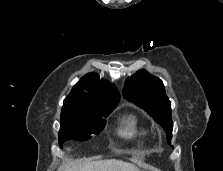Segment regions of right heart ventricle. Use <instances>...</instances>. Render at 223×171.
I'll return each mask as SVG.
<instances>
[{
    "label": "right heart ventricle",
    "mask_w": 223,
    "mask_h": 171,
    "mask_svg": "<svg viewBox=\"0 0 223 171\" xmlns=\"http://www.w3.org/2000/svg\"><path fill=\"white\" fill-rule=\"evenodd\" d=\"M148 129L136 115H127L121 119L119 134L130 140H142L148 135Z\"/></svg>",
    "instance_id": "obj_1"
}]
</instances>
